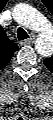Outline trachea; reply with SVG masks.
Masks as SVG:
<instances>
[{
  "label": "trachea",
  "mask_w": 53,
  "mask_h": 120,
  "mask_svg": "<svg viewBox=\"0 0 53 120\" xmlns=\"http://www.w3.org/2000/svg\"><path fill=\"white\" fill-rule=\"evenodd\" d=\"M17 38H18V40L21 41V40L28 39L29 35L27 34V32L23 28L19 27L17 29Z\"/></svg>",
  "instance_id": "3493384b"
}]
</instances>
